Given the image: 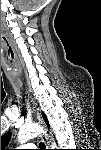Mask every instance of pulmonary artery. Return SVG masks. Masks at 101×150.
<instances>
[{
	"label": "pulmonary artery",
	"instance_id": "e3ab8cb5",
	"mask_svg": "<svg viewBox=\"0 0 101 150\" xmlns=\"http://www.w3.org/2000/svg\"><path fill=\"white\" fill-rule=\"evenodd\" d=\"M23 148H35V145L32 143L23 145Z\"/></svg>",
	"mask_w": 101,
	"mask_h": 150
}]
</instances>
